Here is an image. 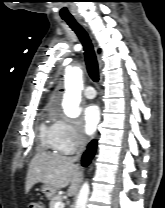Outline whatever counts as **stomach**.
I'll list each match as a JSON object with an SVG mask.
<instances>
[{
    "label": "stomach",
    "mask_w": 165,
    "mask_h": 208,
    "mask_svg": "<svg viewBox=\"0 0 165 208\" xmlns=\"http://www.w3.org/2000/svg\"><path fill=\"white\" fill-rule=\"evenodd\" d=\"M42 192L45 194V196L48 198V199H51L55 196L56 194V189L50 187V186H47V185H43L42 186Z\"/></svg>",
    "instance_id": "stomach-1"
}]
</instances>
